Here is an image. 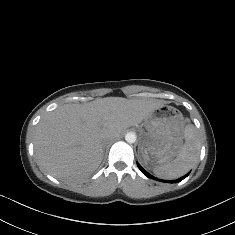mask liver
Listing matches in <instances>:
<instances>
[{"label":"liver","mask_w":235,"mask_h":235,"mask_svg":"<svg viewBox=\"0 0 235 235\" xmlns=\"http://www.w3.org/2000/svg\"><path fill=\"white\" fill-rule=\"evenodd\" d=\"M163 104L153 98L108 97L84 105L60 106L45 115L34 131L40 170L60 181L88 177L103 159L105 139L137 126Z\"/></svg>","instance_id":"1"}]
</instances>
